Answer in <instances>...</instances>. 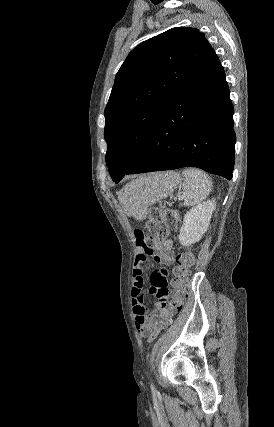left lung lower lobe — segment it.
I'll return each instance as SVG.
<instances>
[{"label": "left lung lower lobe", "instance_id": "left-lung-lower-lobe-1", "mask_svg": "<svg viewBox=\"0 0 274 427\" xmlns=\"http://www.w3.org/2000/svg\"><path fill=\"white\" fill-rule=\"evenodd\" d=\"M235 140L225 73L212 50L164 110L140 156L112 180L186 166L230 180Z\"/></svg>", "mask_w": 274, "mask_h": 427}]
</instances>
